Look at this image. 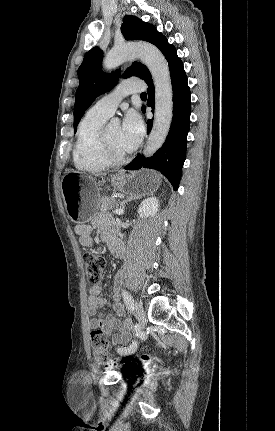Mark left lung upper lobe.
Listing matches in <instances>:
<instances>
[{"mask_svg":"<svg viewBox=\"0 0 275 431\" xmlns=\"http://www.w3.org/2000/svg\"><path fill=\"white\" fill-rule=\"evenodd\" d=\"M122 34L126 40H143L154 44L166 56L173 46L159 33L154 26L145 23L135 16L127 15L121 26ZM103 51L94 47L85 54L84 60L78 69L79 87L76 91L74 105V131L79 120L97 95L110 91L118 82L120 71L112 72L110 75L101 70ZM136 75L148 81L151 74L148 68L140 62H134L124 73V78Z\"/></svg>","mask_w":275,"mask_h":431,"instance_id":"5c2ea615","label":"left lung upper lobe"}]
</instances>
